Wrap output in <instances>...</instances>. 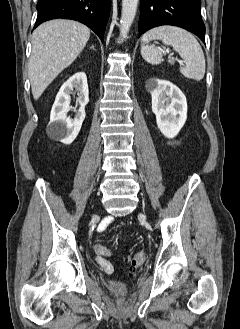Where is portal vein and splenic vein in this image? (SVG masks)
Listing matches in <instances>:
<instances>
[{"instance_id": "1", "label": "portal vein and splenic vein", "mask_w": 240, "mask_h": 329, "mask_svg": "<svg viewBox=\"0 0 240 329\" xmlns=\"http://www.w3.org/2000/svg\"><path fill=\"white\" fill-rule=\"evenodd\" d=\"M172 55H173V53H170V54H169V57L172 56Z\"/></svg>"}]
</instances>
